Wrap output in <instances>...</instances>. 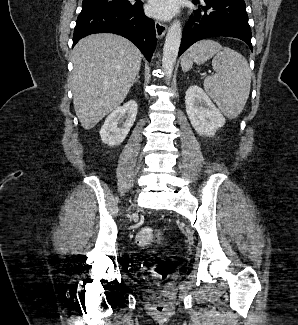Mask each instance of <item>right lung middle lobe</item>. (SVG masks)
<instances>
[{
  "label": "right lung middle lobe",
  "instance_id": "1",
  "mask_svg": "<svg viewBox=\"0 0 298 325\" xmlns=\"http://www.w3.org/2000/svg\"><path fill=\"white\" fill-rule=\"evenodd\" d=\"M131 6L128 0H83L82 11L104 8H129Z\"/></svg>",
  "mask_w": 298,
  "mask_h": 325
}]
</instances>
